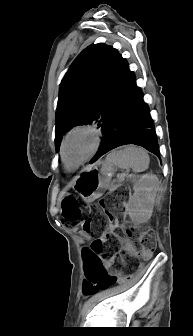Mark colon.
<instances>
[{
	"instance_id": "1",
	"label": "colon",
	"mask_w": 193,
	"mask_h": 336,
	"mask_svg": "<svg viewBox=\"0 0 193 336\" xmlns=\"http://www.w3.org/2000/svg\"><path fill=\"white\" fill-rule=\"evenodd\" d=\"M99 207L104 217L92 215L90 207L75 196H67L63 201V215L66 222L69 225L81 222L86 233L96 236L90 250L86 252V278L89 284L104 290L121 281L105 270L103 261L114 256L119 250L116 230L121 227L125 208L116 200L106 202L104 199L99 201ZM124 231L129 236L138 238L144 257H149L155 252L157 242L154 232L148 229L137 231L133 227H127Z\"/></svg>"
}]
</instances>
